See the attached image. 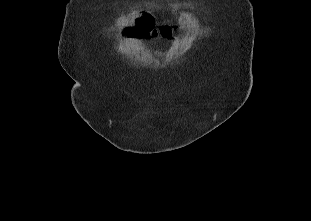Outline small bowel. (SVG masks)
<instances>
[{"mask_svg":"<svg viewBox=\"0 0 311 221\" xmlns=\"http://www.w3.org/2000/svg\"><path fill=\"white\" fill-rule=\"evenodd\" d=\"M165 29H170V27L164 26V27H163V34H164ZM164 35H165V34H164Z\"/></svg>","mask_w":311,"mask_h":221,"instance_id":"1","label":"small bowel"}]
</instances>
